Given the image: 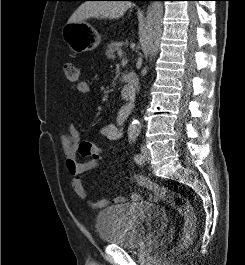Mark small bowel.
I'll use <instances>...</instances> for the list:
<instances>
[{
	"label": "small bowel",
	"instance_id": "1",
	"mask_svg": "<svg viewBox=\"0 0 245 265\" xmlns=\"http://www.w3.org/2000/svg\"><path fill=\"white\" fill-rule=\"evenodd\" d=\"M75 89L81 94H87L91 91V87L86 81H80ZM99 134L110 141H116L122 137L120 127L113 123L103 125L99 130ZM59 137L66 158V168L68 173L72 176L71 187L79 198L87 201L88 205L94 209L104 208L109 203L121 204L126 201V198L123 196H116L111 201L108 199H100L97 201L90 200L83 184V175L88 171L95 169L98 166V162L96 160L80 161L78 159L77 150L78 142L80 140V132L74 123H68L66 131L61 132ZM148 199L150 201H158L159 196L154 192H150L148 194ZM130 200L133 202L139 201L141 200V195L133 193L130 196Z\"/></svg>",
	"mask_w": 245,
	"mask_h": 265
}]
</instances>
